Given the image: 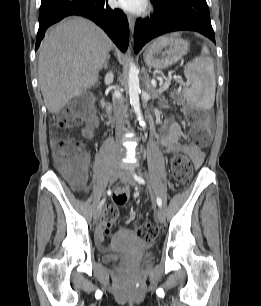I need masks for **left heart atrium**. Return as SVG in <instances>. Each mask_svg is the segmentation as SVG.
I'll list each match as a JSON object with an SVG mask.
<instances>
[{
    "label": "left heart atrium",
    "instance_id": "obj_1",
    "mask_svg": "<svg viewBox=\"0 0 261 306\" xmlns=\"http://www.w3.org/2000/svg\"><path fill=\"white\" fill-rule=\"evenodd\" d=\"M118 5L126 11L138 12L145 6V0H118Z\"/></svg>",
    "mask_w": 261,
    "mask_h": 306
}]
</instances>
